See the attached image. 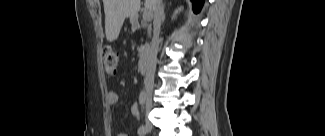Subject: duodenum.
Wrapping results in <instances>:
<instances>
[{"label":"duodenum","mask_w":325,"mask_h":136,"mask_svg":"<svg viewBox=\"0 0 325 136\" xmlns=\"http://www.w3.org/2000/svg\"><path fill=\"white\" fill-rule=\"evenodd\" d=\"M152 51V45L151 43H147L144 47L143 53L141 55V58L138 62V70L143 73L147 67L149 62V56Z\"/></svg>","instance_id":"duodenum-1"}]
</instances>
